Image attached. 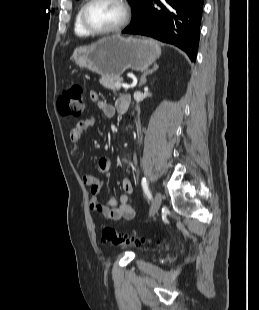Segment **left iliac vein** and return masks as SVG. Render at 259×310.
<instances>
[{
  "label": "left iliac vein",
  "instance_id": "left-iliac-vein-1",
  "mask_svg": "<svg viewBox=\"0 0 259 310\" xmlns=\"http://www.w3.org/2000/svg\"><path fill=\"white\" fill-rule=\"evenodd\" d=\"M162 203V194L160 192H157L154 196V202L150 209V216H154L158 210L160 209Z\"/></svg>",
  "mask_w": 259,
  "mask_h": 310
}]
</instances>
